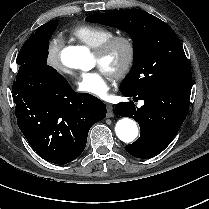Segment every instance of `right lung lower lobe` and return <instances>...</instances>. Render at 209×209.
<instances>
[{
    "instance_id": "obj_1",
    "label": "right lung lower lobe",
    "mask_w": 209,
    "mask_h": 209,
    "mask_svg": "<svg viewBox=\"0 0 209 209\" xmlns=\"http://www.w3.org/2000/svg\"><path fill=\"white\" fill-rule=\"evenodd\" d=\"M17 124L44 160L66 164L85 149L89 129L106 116V106L76 93L49 65L20 66L12 86Z\"/></svg>"
}]
</instances>
